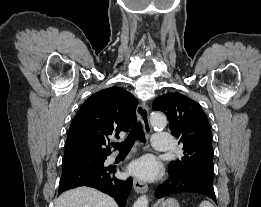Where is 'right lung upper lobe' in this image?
<instances>
[{"mask_svg":"<svg viewBox=\"0 0 261 207\" xmlns=\"http://www.w3.org/2000/svg\"><path fill=\"white\" fill-rule=\"evenodd\" d=\"M136 108L135 97L119 87L106 88L90 96L71 123L63 161L110 155L106 146L109 136L119 138L121 131L131 128Z\"/></svg>","mask_w":261,"mask_h":207,"instance_id":"1","label":"right lung upper lobe"}]
</instances>
